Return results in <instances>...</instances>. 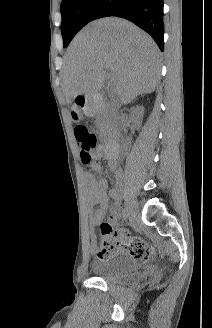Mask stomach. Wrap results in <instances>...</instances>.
<instances>
[{
    "label": "stomach",
    "instance_id": "obj_1",
    "mask_svg": "<svg viewBox=\"0 0 212 328\" xmlns=\"http://www.w3.org/2000/svg\"><path fill=\"white\" fill-rule=\"evenodd\" d=\"M71 117H72V119H74V120H75V119H77V117H78V116H77V114H75V113H74V114H72V116H71Z\"/></svg>",
    "mask_w": 212,
    "mask_h": 328
}]
</instances>
